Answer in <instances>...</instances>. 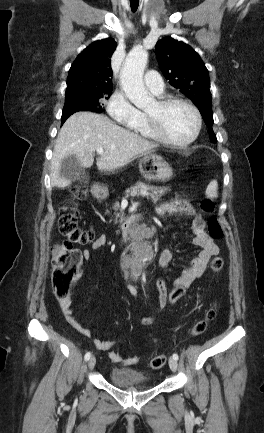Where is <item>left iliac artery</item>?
Returning a JSON list of instances; mask_svg holds the SVG:
<instances>
[{
    "mask_svg": "<svg viewBox=\"0 0 264 433\" xmlns=\"http://www.w3.org/2000/svg\"><path fill=\"white\" fill-rule=\"evenodd\" d=\"M172 357H173L175 360H178V355H177L176 353H174V354L172 355Z\"/></svg>",
    "mask_w": 264,
    "mask_h": 433,
    "instance_id": "44dca946",
    "label": "left iliac artery"
}]
</instances>
